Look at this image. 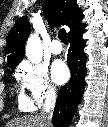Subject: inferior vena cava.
Instances as JSON below:
<instances>
[{
  "instance_id": "inferior-vena-cava-1",
  "label": "inferior vena cava",
  "mask_w": 108,
  "mask_h": 127,
  "mask_svg": "<svg viewBox=\"0 0 108 127\" xmlns=\"http://www.w3.org/2000/svg\"><path fill=\"white\" fill-rule=\"evenodd\" d=\"M56 103V92L53 88L49 89L45 95V103L41 114L45 120L46 127H52V115Z\"/></svg>"
}]
</instances>
